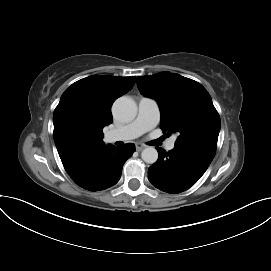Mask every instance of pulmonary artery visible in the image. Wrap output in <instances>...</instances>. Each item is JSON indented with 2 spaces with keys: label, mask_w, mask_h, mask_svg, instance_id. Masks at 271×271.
Returning <instances> with one entry per match:
<instances>
[{
  "label": "pulmonary artery",
  "mask_w": 271,
  "mask_h": 271,
  "mask_svg": "<svg viewBox=\"0 0 271 271\" xmlns=\"http://www.w3.org/2000/svg\"><path fill=\"white\" fill-rule=\"evenodd\" d=\"M159 120L160 110L157 102L152 98L142 97L138 103L137 117L129 124L111 130L107 137L110 141L134 139L155 127ZM175 141L176 137L170 138L166 143V149L172 150Z\"/></svg>",
  "instance_id": "obj_1"
}]
</instances>
